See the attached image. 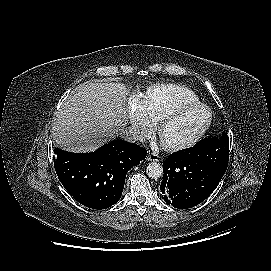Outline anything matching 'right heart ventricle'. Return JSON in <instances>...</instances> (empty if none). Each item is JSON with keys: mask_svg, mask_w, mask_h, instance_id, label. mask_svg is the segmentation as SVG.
Masks as SVG:
<instances>
[{"mask_svg": "<svg viewBox=\"0 0 271 271\" xmlns=\"http://www.w3.org/2000/svg\"><path fill=\"white\" fill-rule=\"evenodd\" d=\"M199 101V97L191 89L172 83L152 85L144 94L145 109L153 123L163 113L177 106Z\"/></svg>", "mask_w": 271, "mask_h": 271, "instance_id": "e07e8e85", "label": "right heart ventricle"}]
</instances>
